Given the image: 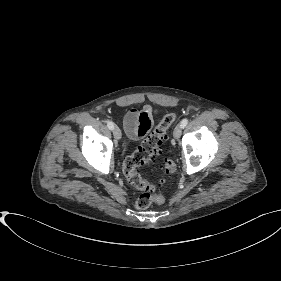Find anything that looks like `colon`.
<instances>
[{
    "instance_id": "obj_1",
    "label": "colon",
    "mask_w": 281,
    "mask_h": 281,
    "mask_svg": "<svg viewBox=\"0 0 281 281\" xmlns=\"http://www.w3.org/2000/svg\"><path fill=\"white\" fill-rule=\"evenodd\" d=\"M176 121V115L170 113L155 127L147 136L141 146L132 154L128 155L122 165V171L127 181L143 193L135 200V206L139 209H146L153 203L164 202L163 190L168 183V179L175 172V163L167 158L164 161V173L166 180L152 183L145 180L138 171V167L154 160L161 152V145L167 139V130Z\"/></svg>"
}]
</instances>
